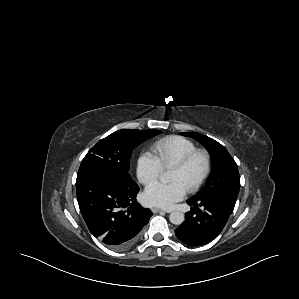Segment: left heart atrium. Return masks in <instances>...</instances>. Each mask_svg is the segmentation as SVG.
<instances>
[{
	"label": "left heart atrium",
	"mask_w": 299,
	"mask_h": 299,
	"mask_svg": "<svg viewBox=\"0 0 299 299\" xmlns=\"http://www.w3.org/2000/svg\"><path fill=\"white\" fill-rule=\"evenodd\" d=\"M186 190V187L178 181L168 184L154 182L146 187L143 193V201L150 206L169 209L176 202L183 199Z\"/></svg>",
	"instance_id": "39dd6f15"
}]
</instances>
